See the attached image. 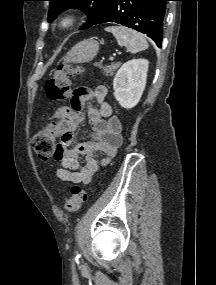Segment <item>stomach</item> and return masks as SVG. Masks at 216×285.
Masks as SVG:
<instances>
[{"label":"stomach","instance_id":"obj_1","mask_svg":"<svg viewBox=\"0 0 216 285\" xmlns=\"http://www.w3.org/2000/svg\"><path fill=\"white\" fill-rule=\"evenodd\" d=\"M99 51V43L95 39H86L77 43L64 58L66 63H87L94 59Z\"/></svg>","mask_w":216,"mask_h":285}]
</instances>
